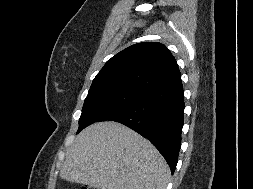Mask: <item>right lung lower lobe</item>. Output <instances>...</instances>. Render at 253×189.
<instances>
[{
  "label": "right lung lower lobe",
  "mask_w": 253,
  "mask_h": 189,
  "mask_svg": "<svg viewBox=\"0 0 253 189\" xmlns=\"http://www.w3.org/2000/svg\"><path fill=\"white\" fill-rule=\"evenodd\" d=\"M182 81L148 91L142 98L101 120L122 123L146 137L175 171L184 125Z\"/></svg>",
  "instance_id": "right-lung-lower-lobe-1"
}]
</instances>
